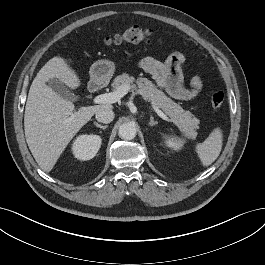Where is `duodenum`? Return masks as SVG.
<instances>
[{"instance_id": "410a0bca", "label": "duodenum", "mask_w": 265, "mask_h": 265, "mask_svg": "<svg viewBox=\"0 0 265 265\" xmlns=\"http://www.w3.org/2000/svg\"><path fill=\"white\" fill-rule=\"evenodd\" d=\"M99 89V84L96 81H93L89 85V91L90 92H96Z\"/></svg>"}]
</instances>
